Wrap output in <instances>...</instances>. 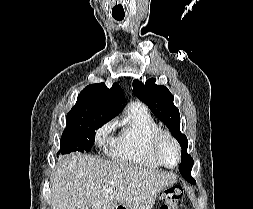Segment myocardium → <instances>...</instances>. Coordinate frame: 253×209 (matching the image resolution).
Returning a JSON list of instances; mask_svg holds the SVG:
<instances>
[{
  "mask_svg": "<svg viewBox=\"0 0 253 209\" xmlns=\"http://www.w3.org/2000/svg\"><path fill=\"white\" fill-rule=\"evenodd\" d=\"M165 137L169 138L174 143L177 150V162L173 166L166 164L162 159L161 155L159 154L160 142ZM148 153L160 166H163L168 169L176 168L181 162V155H182L181 146L176 137L170 131L165 129H159L157 132L153 134L148 145Z\"/></svg>",
  "mask_w": 253,
  "mask_h": 209,
  "instance_id": "myocardium-1",
  "label": "myocardium"
}]
</instances>
